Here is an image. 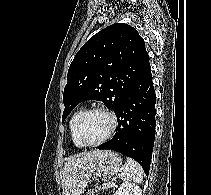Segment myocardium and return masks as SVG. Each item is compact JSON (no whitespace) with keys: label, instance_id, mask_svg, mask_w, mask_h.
Returning <instances> with one entry per match:
<instances>
[{"label":"myocardium","instance_id":"1","mask_svg":"<svg viewBox=\"0 0 211 195\" xmlns=\"http://www.w3.org/2000/svg\"><path fill=\"white\" fill-rule=\"evenodd\" d=\"M92 112H102V113L106 114L110 118L111 125H110L109 131L102 139H100L94 143H86L81 139L80 127H81L84 117ZM117 126H118V119H117V116L114 111H112L111 109H109L107 107H103V106L91 107L89 109L84 110L81 113V115L79 116L77 123H76V137H77V140L79 141V143L82 145V147H96V146H99V145L105 143L106 141H108L114 135V133L117 129Z\"/></svg>","mask_w":211,"mask_h":195}]
</instances>
